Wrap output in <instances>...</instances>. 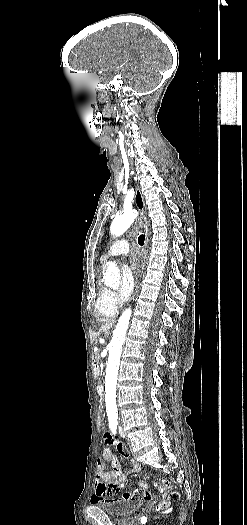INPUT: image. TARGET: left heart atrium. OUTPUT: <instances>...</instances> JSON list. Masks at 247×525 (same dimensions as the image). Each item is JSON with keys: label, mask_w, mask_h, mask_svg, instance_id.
I'll return each mask as SVG.
<instances>
[{"label": "left heart atrium", "mask_w": 247, "mask_h": 525, "mask_svg": "<svg viewBox=\"0 0 247 525\" xmlns=\"http://www.w3.org/2000/svg\"><path fill=\"white\" fill-rule=\"evenodd\" d=\"M146 255L138 250L133 251L126 262V268L122 270L123 286L121 290L122 299H126L132 292L135 284V275H141L146 267Z\"/></svg>", "instance_id": "39dd6f15"}]
</instances>
